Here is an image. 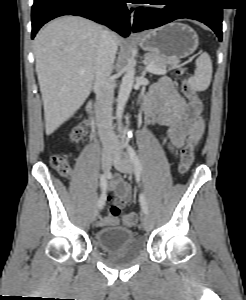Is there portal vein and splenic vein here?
I'll list each match as a JSON object with an SVG mask.
<instances>
[{
    "label": "portal vein and splenic vein",
    "instance_id": "1",
    "mask_svg": "<svg viewBox=\"0 0 246 300\" xmlns=\"http://www.w3.org/2000/svg\"><path fill=\"white\" fill-rule=\"evenodd\" d=\"M146 69H147V71H149V72H151L153 74H157V75H164V74H166V72L155 68L153 65H147ZM81 74H84V72H81Z\"/></svg>",
    "mask_w": 246,
    "mask_h": 300
}]
</instances>
